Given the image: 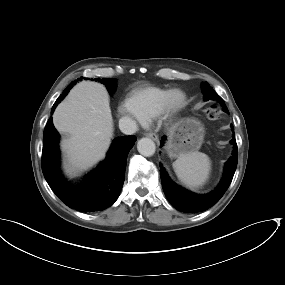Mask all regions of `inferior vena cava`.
<instances>
[{"mask_svg": "<svg viewBox=\"0 0 285 285\" xmlns=\"http://www.w3.org/2000/svg\"><path fill=\"white\" fill-rule=\"evenodd\" d=\"M119 128L121 132H123L126 135H132L137 132L138 126L136 124V121L131 119L130 117H122L119 120Z\"/></svg>", "mask_w": 285, "mask_h": 285, "instance_id": "1", "label": "inferior vena cava"}]
</instances>
